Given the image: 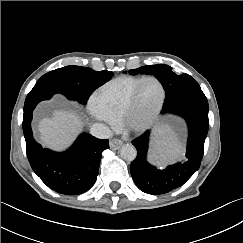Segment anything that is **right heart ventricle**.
Instances as JSON below:
<instances>
[{
	"mask_svg": "<svg viewBox=\"0 0 243 243\" xmlns=\"http://www.w3.org/2000/svg\"><path fill=\"white\" fill-rule=\"evenodd\" d=\"M145 78L131 75L117 77L101 86L92 98L102 111L113 119L119 120L128 97Z\"/></svg>",
	"mask_w": 243,
	"mask_h": 243,
	"instance_id": "1",
	"label": "right heart ventricle"
}]
</instances>
